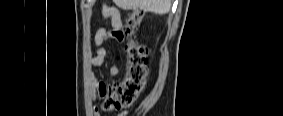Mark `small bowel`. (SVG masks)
<instances>
[{
    "mask_svg": "<svg viewBox=\"0 0 283 116\" xmlns=\"http://www.w3.org/2000/svg\"><path fill=\"white\" fill-rule=\"evenodd\" d=\"M101 12L105 18H108L110 20L111 29L101 27L95 33L94 44L96 47V52L95 55H93L90 59V64L93 67H101L105 63L108 51L104 46V43L112 37L119 40L118 35L121 32L122 28L120 12L116 8L102 5ZM119 72L120 69L116 63L112 64L109 67V75L111 76V78H116L119 75ZM92 84L94 87H96L99 85V81L95 79ZM93 115H99L98 108L96 106L93 107ZM121 115H125V113Z\"/></svg>",
    "mask_w": 283,
    "mask_h": 116,
    "instance_id": "obj_1",
    "label": "small bowel"
}]
</instances>
